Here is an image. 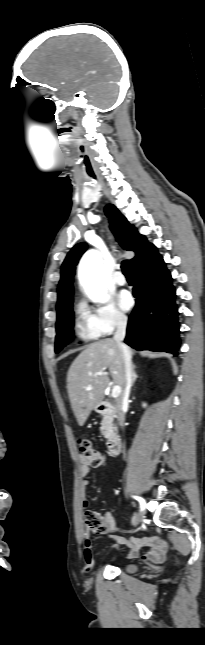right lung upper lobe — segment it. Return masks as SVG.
Listing matches in <instances>:
<instances>
[{"label": "right lung upper lobe", "mask_w": 205, "mask_h": 645, "mask_svg": "<svg viewBox=\"0 0 205 645\" xmlns=\"http://www.w3.org/2000/svg\"><path fill=\"white\" fill-rule=\"evenodd\" d=\"M105 213L111 219L112 230L120 245L125 250L135 252L136 255L132 259L134 268L158 255L156 247L149 243L145 236L139 234L114 205H107ZM86 249L87 244L84 242L75 245L62 264L61 280L58 286L57 315L73 303L72 282L75 266Z\"/></svg>", "instance_id": "obj_1"}]
</instances>
